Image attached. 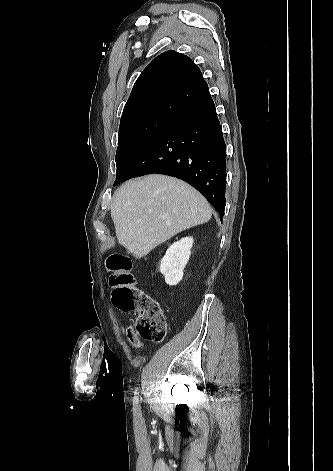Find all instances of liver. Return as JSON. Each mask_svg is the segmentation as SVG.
<instances>
[{
    "mask_svg": "<svg viewBox=\"0 0 333 471\" xmlns=\"http://www.w3.org/2000/svg\"><path fill=\"white\" fill-rule=\"evenodd\" d=\"M211 216L209 203L198 191L159 174L126 182L111 205L118 241L135 258L146 256L183 230L208 222Z\"/></svg>",
    "mask_w": 333,
    "mask_h": 471,
    "instance_id": "6515ba94",
    "label": "liver"
}]
</instances>
